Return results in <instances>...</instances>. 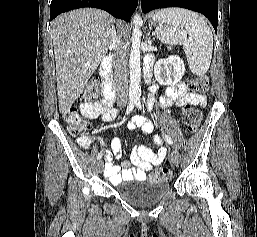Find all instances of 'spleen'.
Here are the masks:
<instances>
[{
  "instance_id": "obj_1",
  "label": "spleen",
  "mask_w": 257,
  "mask_h": 237,
  "mask_svg": "<svg viewBox=\"0 0 257 237\" xmlns=\"http://www.w3.org/2000/svg\"><path fill=\"white\" fill-rule=\"evenodd\" d=\"M152 19L159 23L155 32L161 42L183 45L192 73L203 75L208 71L213 51V35L202 17L186 9L169 8L157 11Z\"/></svg>"
}]
</instances>
